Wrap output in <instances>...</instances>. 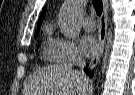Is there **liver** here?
Returning a JSON list of instances; mask_svg holds the SVG:
<instances>
[{
  "instance_id": "1",
  "label": "liver",
  "mask_w": 135,
  "mask_h": 95,
  "mask_svg": "<svg viewBox=\"0 0 135 95\" xmlns=\"http://www.w3.org/2000/svg\"><path fill=\"white\" fill-rule=\"evenodd\" d=\"M92 84L86 76L67 65H53L35 73L24 95H90Z\"/></svg>"
}]
</instances>
